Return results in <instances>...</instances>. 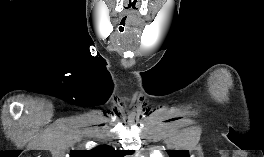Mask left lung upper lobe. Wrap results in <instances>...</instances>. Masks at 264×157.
<instances>
[{"mask_svg":"<svg viewBox=\"0 0 264 157\" xmlns=\"http://www.w3.org/2000/svg\"><path fill=\"white\" fill-rule=\"evenodd\" d=\"M170 157H189L187 150H167Z\"/></svg>","mask_w":264,"mask_h":157,"instance_id":"obj_1","label":"left lung upper lobe"}]
</instances>
